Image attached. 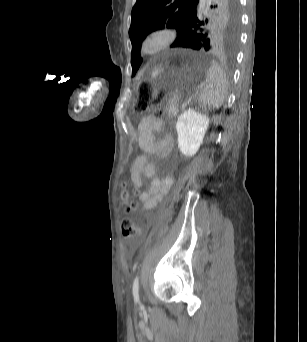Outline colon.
Instances as JSON below:
<instances>
[{"label":"colon","instance_id":"1","mask_svg":"<svg viewBox=\"0 0 307 342\" xmlns=\"http://www.w3.org/2000/svg\"><path fill=\"white\" fill-rule=\"evenodd\" d=\"M138 89L139 94H141V99L136 103V110L138 112L154 111L155 113L162 115V109L160 108L162 97L160 95H155V97L144 95L152 94L151 82H138ZM121 187L123 188L122 198L125 200L123 206L124 211L127 214H133L138 209V202L134 197L133 199L128 200V192L135 196L137 189L133 188L127 190L124 182L121 184ZM121 229L123 236L127 239L134 237L139 232V227L131 218H125L121 221Z\"/></svg>","mask_w":307,"mask_h":342}]
</instances>
